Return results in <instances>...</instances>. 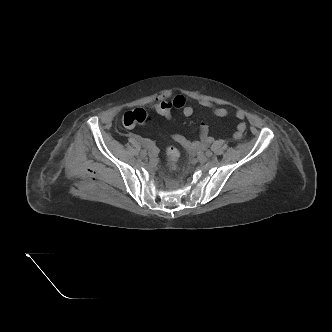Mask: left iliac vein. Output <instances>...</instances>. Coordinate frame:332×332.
Segmentation results:
<instances>
[{"mask_svg": "<svg viewBox=\"0 0 332 332\" xmlns=\"http://www.w3.org/2000/svg\"><path fill=\"white\" fill-rule=\"evenodd\" d=\"M197 159L200 163H205L208 160V158L204 154L198 155Z\"/></svg>", "mask_w": 332, "mask_h": 332, "instance_id": "left-iliac-vein-1", "label": "left iliac vein"}]
</instances>
